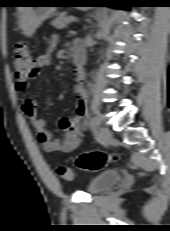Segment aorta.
<instances>
[{
    "mask_svg": "<svg viewBox=\"0 0 170 231\" xmlns=\"http://www.w3.org/2000/svg\"><path fill=\"white\" fill-rule=\"evenodd\" d=\"M100 34H101V32L99 31V32L97 33V36L100 35Z\"/></svg>",
    "mask_w": 170,
    "mask_h": 231,
    "instance_id": "762f6f07",
    "label": "aorta"
}]
</instances>
